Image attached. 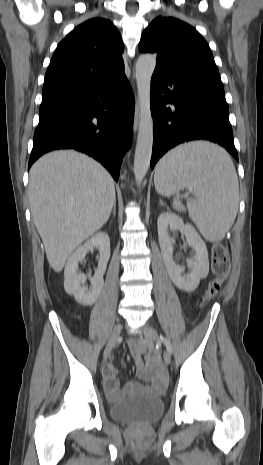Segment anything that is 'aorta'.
<instances>
[{"label": "aorta", "instance_id": "obj_1", "mask_svg": "<svg viewBox=\"0 0 263 465\" xmlns=\"http://www.w3.org/2000/svg\"><path fill=\"white\" fill-rule=\"evenodd\" d=\"M156 66V56L142 54L136 63V83L139 98L140 121L137 136L134 176L139 185L150 166L153 147V120L150 110L151 77Z\"/></svg>", "mask_w": 263, "mask_h": 465}]
</instances>
